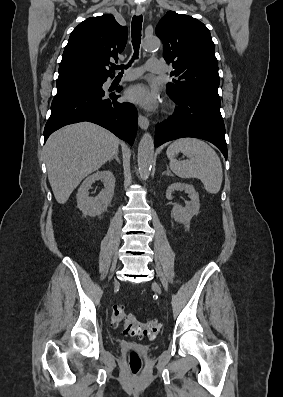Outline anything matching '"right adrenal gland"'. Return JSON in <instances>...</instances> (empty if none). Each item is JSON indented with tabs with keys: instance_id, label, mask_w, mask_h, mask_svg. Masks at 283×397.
<instances>
[{
	"instance_id": "obj_1",
	"label": "right adrenal gland",
	"mask_w": 283,
	"mask_h": 397,
	"mask_svg": "<svg viewBox=\"0 0 283 397\" xmlns=\"http://www.w3.org/2000/svg\"><path fill=\"white\" fill-rule=\"evenodd\" d=\"M113 159H115L118 163H120V160L118 158V152L111 159H109V162H111Z\"/></svg>"
}]
</instances>
